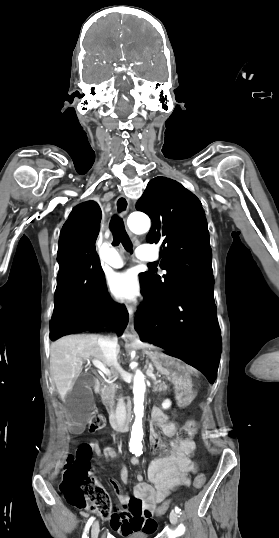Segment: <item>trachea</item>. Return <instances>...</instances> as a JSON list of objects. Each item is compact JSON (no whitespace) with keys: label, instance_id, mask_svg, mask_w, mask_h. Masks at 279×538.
Here are the masks:
<instances>
[{"label":"trachea","instance_id":"3493384b","mask_svg":"<svg viewBox=\"0 0 279 538\" xmlns=\"http://www.w3.org/2000/svg\"><path fill=\"white\" fill-rule=\"evenodd\" d=\"M110 229L113 233V242L112 245L118 246L120 243L124 246L125 250L127 252L133 253V246L131 243V240L125 230L124 222L123 220L118 217L117 215H114L111 217L110 220Z\"/></svg>","mask_w":279,"mask_h":538}]
</instances>
